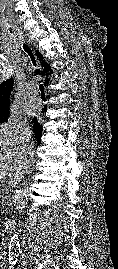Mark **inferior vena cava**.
<instances>
[{
    "label": "inferior vena cava",
    "mask_w": 118,
    "mask_h": 269,
    "mask_svg": "<svg viewBox=\"0 0 118 269\" xmlns=\"http://www.w3.org/2000/svg\"><path fill=\"white\" fill-rule=\"evenodd\" d=\"M32 145H27L25 148V155L22 162L21 170L18 174L19 177H22L23 174L32 166L34 162L33 153H32Z\"/></svg>",
    "instance_id": "1"
}]
</instances>
